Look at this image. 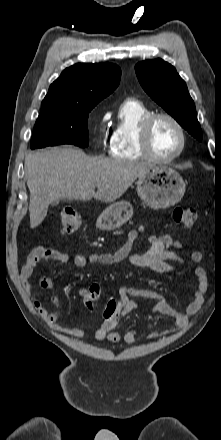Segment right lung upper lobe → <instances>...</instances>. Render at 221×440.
Instances as JSON below:
<instances>
[{"label":"right lung upper lobe","mask_w":221,"mask_h":440,"mask_svg":"<svg viewBox=\"0 0 221 440\" xmlns=\"http://www.w3.org/2000/svg\"><path fill=\"white\" fill-rule=\"evenodd\" d=\"M121 70L112 63H78L66 68L42 102L97 105L120 82Z\"/></svg>","instance_id":"obj_1"}]
</instances>
